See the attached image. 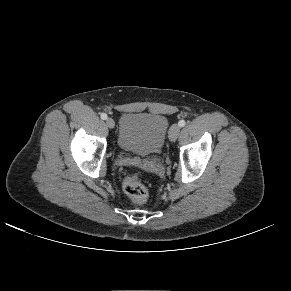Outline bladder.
<instances>
[{
  "mask_svg": "<svg viewBox=\"0 0 291 291\" xmlns=\"http://www.w3.org/2000/svg\"><path fill=\"white\" fill-rule=\"evenodd\" d=\"M169 122L164 115L129 112L121 116L117 144L139 156L157 154L163 147Z\"/></svg>",
  "mask_w": 291,
  "mask_h": 291,
  "instance_id": "bladder-1",
  "label": "bladder"
}]
</instances>
